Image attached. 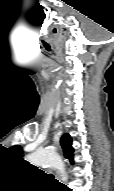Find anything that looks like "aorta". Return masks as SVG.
I'll return each mask as SVG.
<instances>
[{
  "label": "aorta",
  "mask_w": 114,
  "mask_h": 191,
  "mask_svg": "<svg viewBox=\"0 0 114 191\" xmlns=\"http://www.w3.org/2000/svg\"><path fill=\"white\" fill-rule=\"evenodd\" d=\"M28 160L31 164L36 166H48L58 170L61 175V179L63 182H66L68 179L65 165L61 159V157L49 150H36L27 156Z\"/></svg>",
  "instance_id": "obj_1"
}]
</instances>
